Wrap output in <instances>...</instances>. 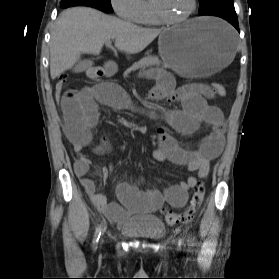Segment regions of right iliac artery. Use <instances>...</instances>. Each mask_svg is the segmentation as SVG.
I'll use <instances>...</instances> for the list:
<instances>
[{
    "mask_svg": "<svg viewBox=\"0 0 279 279\" xmlns=\"http://www.w3.org/2000/svg\"><path fill=\"white\" fill-rule=\"evenodd\" d=\"M100 235H101V226H99L96 229V232H95V235H94V239H93V249L97 248V243L99 241Z\"/></svg>",
    "mask_w": 279,
    "mask_h": 279,
    "instance_id": "1",
    "label": "right iliac artery"
}]
</instances>
